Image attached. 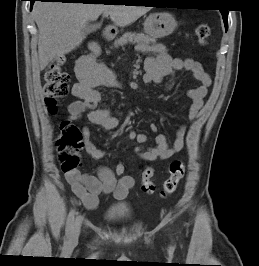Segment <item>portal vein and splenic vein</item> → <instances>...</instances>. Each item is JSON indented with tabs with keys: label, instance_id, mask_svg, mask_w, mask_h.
<instances>
[{
	"label": "portal vein and splenic vein",
	"instance_id": "obj_1",
	"mask_svg": "<svg viewBox=\"0 0 259 266\" xmlns=\"http://www.w3.org/2000/svg\"><path fill=\"white\" fill-rule=\"evenodd\" d=\"M108 15H109L108 12H104V13H103V16H108Z\"/></svg>",
	"mask_w": 259,
	"mask_h": 266
}]
</instances>
